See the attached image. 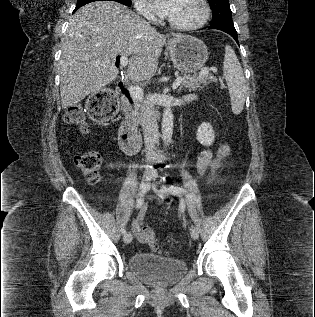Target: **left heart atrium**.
<instances>
[{
	"label": "left heart atrium",
	"instance_id": "obj_1",
	"mask_svg": "<svg viewBox=\"0 0 315 317\" xmlns=\"http://www.w3.org/2000/svg\"><path fill=\"white\" fill-rule=\"evenodd\" d=\"M178 0H152L153 7L162 16L169 17L177 4Z\"/></svg>",
	"mask_w": 315,
	"mask_h": 317
}]
</instances>
